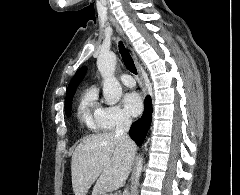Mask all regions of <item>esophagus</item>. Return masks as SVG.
<instances>
[{"label":"esophagus","mask_w":240,"mask_h":195,"mask_svg":"<svg viewBox=\"0 0 240 195\" xmlns=\"http://www.w3.org/2000/svg\"><path fill=\"white\" fill-rule=\"evenodd\" d=\"M116 29L118 30V32H120L122 34V31L120 30V28L118 26H116ZM133 58H134V61L136 63V66L140 72V65H139V62H138V58L137 56L133 53Z\"/></svg>","instance_id":"34e87169"}]
</instances>
